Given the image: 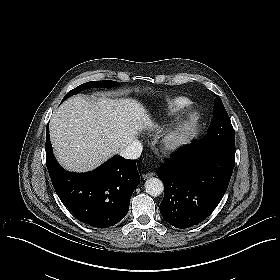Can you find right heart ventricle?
<instances>
[{
	"label": "right heart ventricle",
	"mask_w": 280,
	"mask_h": 280,
	"mask_svg": "<svg viewBox=\"0 0 280 280\" xmlns=\"http://www.w3.org/2000/svg\"><path fill=\"white\" fill-rule=\"evenodd\" d=\"M189 104L187 98L184 96H174L167 103L166 117L169 119L177 114V112L183 110Z\"/></svg>",
	"instance_id": "obj_1"
}]
</instances>
